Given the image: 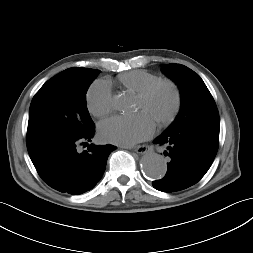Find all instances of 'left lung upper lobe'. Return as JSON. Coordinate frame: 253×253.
<instances>
[{"instance_id": "1", "label": "left lung upper lobe", "mask_w": 253, "mask_h": 253, "mask_svg": "<svg viewBox=\"0 0 253 253\" xmlns=\"http://www.w3.org/2000/svg\"><path fill=\"white\" fill-rule=\"evenodd\" d=\"M163 72L179 86L181 93L180 112L167 131L200 121H219L215 101L198 74L181 64L165 65Z\"/></svg>"}]
</instances>
